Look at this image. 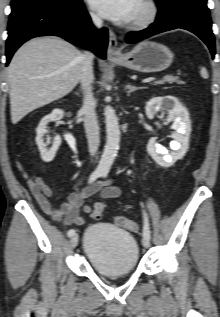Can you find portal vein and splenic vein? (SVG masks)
Returning a JSON list of instances; mask_svg holds the SVG:
<instances>
[{
    "label": "portal vein and splenic vein",
    "mask_w": 220,
    "mask_h": 317,
    "mask_svg": "<svg viewBox=\"0 0 220 317\" xmlns=\"http://www.w3.org/2000/svg\"><path fill=\"white\" fill-rule=\"evenodd\" d=\"M154 80H155L154 77H149V78L144 79L142 82H143V83H149V82H152V81H154Z\"/></svg>",
    "instance_id": "1"
}]
</instances>
